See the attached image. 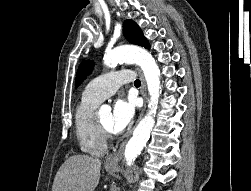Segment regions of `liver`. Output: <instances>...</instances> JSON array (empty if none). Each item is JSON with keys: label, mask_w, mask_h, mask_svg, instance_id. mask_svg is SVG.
<instances>
[{"label": "liver", "mask_w": 251, "mask_h": 191, "mask_svg": "<svg viewBox=\"0 0 251 191\" xmlns=\"http://www.w3.org/2000/svg\"><path fill=\"white\" fill-rule=\"evenodd\" d=\"M101 159L70 155L59 167L52 191H94L100 179Z\"/></svg>", "instance_id": "1"}]
</instances>
